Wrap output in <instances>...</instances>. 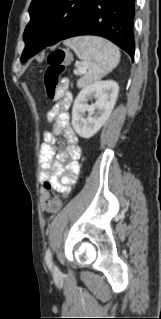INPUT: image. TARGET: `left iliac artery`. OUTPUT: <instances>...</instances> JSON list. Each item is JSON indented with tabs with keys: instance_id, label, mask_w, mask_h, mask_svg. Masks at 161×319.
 <instances>
[{
	"instance_id": "left-iliac-artery-1",
	"label": "left iliac artery",
	"mask_w": 161,
	"mask_h": 319,
	"mask_svg": "<svg viewBox=\"0 0 161 319\" xmlns=\"http://www.w3.org/2000/svg\"><path fill=\"white\" fill-rule=\"evenodd\" d=\"M45 261H46V264L48 265L49 269H51L52 268V263H51V251H50V249H47V251H46Z\"/></svg>"
}]
</instances>
